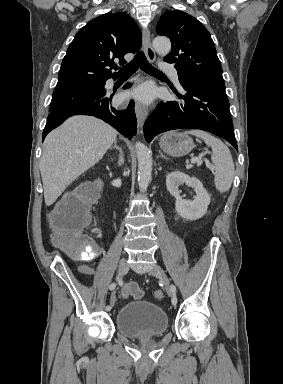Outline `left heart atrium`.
Segmentation results:
<instances>
[{
	"mask_svg": "<svg viewBox=\"0 0 283 384\" xmlns=\"http://www.w3.org/2000/svg\"><path fill=\"white\" fill-rule=\"evenodd\" d=\"M133 96L139 100L147 101L152 97V90L149 87H141L134 91ZM127 98V95H122L121 99Z\"/></svg>",
	"mask_w": 283,
	"mask_h": 384,
	"instance_id": "obj_1",
	"label": "left heart atrium"
}]
</instances>
